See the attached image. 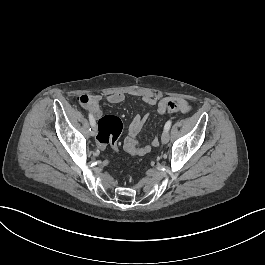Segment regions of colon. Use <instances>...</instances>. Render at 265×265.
Returning <instances> with one entry per match:
<instances>
[{
  "label": "colon",
  "mask_w": 265,
  "mask_h": 265,
  "mask_svg": "<svg viewBox=\"0 0 265 265\" xmlns=\"http://www.w3.org/2000/svg\"><path fill=\"white\" fill-rule=\"evenodd\" d=\"M167 107V108H166ZM166 107L167 113L183 111L180 106L174 100L167 101ZM123 130V124L121 119L112 114L102 115L97 124L96 142L100 149H106L108 146H114L118 143L119 137Z\"/></svg>",
  "instance_id": "1"
}]
</instances>
